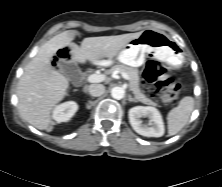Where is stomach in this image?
Segmentation results:
<instances>
[{"label": "stomach", "instance_id": "0dacf381", "mask_svg": "<svg viewBox=\"0 0 222 187\" xmlns=\"http://www.w3.org/2000/svg\"><path fill=\"white\" fill-rule=\"evenodd\" d=\"M116 56L120 63L131 67L143 65L148 56L164 61L175 69L180 68L185 61L179 44L166 33L154 29L142 31L138 38L129 41Z\"/></svg>", "mask_w": 222, "mask_h": 187}]
</instances>
